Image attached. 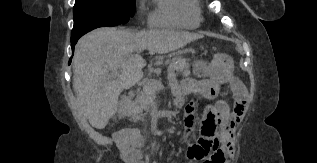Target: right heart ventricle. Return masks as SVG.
Returning <instances> with one entry per match:
<instances>
[{"label":"right heart ventricle","mask_w":317,"mask_h":163,"mask_svg":"<svg viewBox=\"0 0 317 163\" xmlns=\"http://www.w3.org/2000/svg\"><path fill=\"white\" fill-rule=\"evenodd\" d=\"M151 3V27L195 29L201 23L199 0H151Z\"/></svg>","instance_id":"e07e8e85"}]
</instances>
